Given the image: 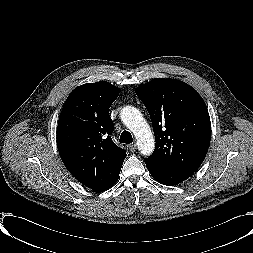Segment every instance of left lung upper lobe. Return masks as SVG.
Listing matches in <instances>:
<instances>
[{"mask_svg":"<svg viewBox=\"0 0 253 253\" xmlns=\"http://www.w3.org/2000/svg\"><path fill=\"white\" fill-rule=\"evenodd\" d=\"M153 125L156 146L147 167L194 173L209 148L211 124L206 104L190 85L156 78L136 89Z\"/></svg>","mask_w":253,"mask_h":253,"instance_id":"obj_1","label":"left lung upper lobe"}]
</instances>
